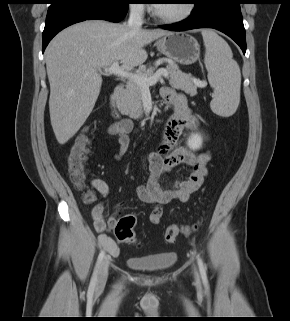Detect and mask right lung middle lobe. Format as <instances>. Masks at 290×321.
I'll list each match as a JSON object with an SVG mask.
<instances>
[{
	"label": "right lung middle lobe",
	"instance_id": "1",
	"mask_svg": "<svg viewBox=\"0 0 290 321\" xmlns=\"http://www.w3.org/2000/svg\"><path fill=\"white\" fill-rule=\"evenodd\" d=\"M71 1V2H84L90 4H119V3H130L131 0H52L54 2Z\"/></svg>",
	"mask_w": 290,
	"mask_h": 321
}]
</instances>
